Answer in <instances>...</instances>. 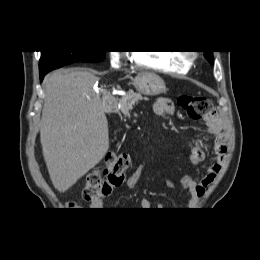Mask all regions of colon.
I'll list each match as a JSON object with an SVG mask.
<instances>
[{
  "instance_id": "colon-1",
  "label": "colon",
  "mask_w": 260,
  "mask_h": 260,
  "mask_svg": "<svg viewBox=\"0 0 260 260\" xmlns=\"http://www.w3.org/2000/svg\"><path fill=\"white\" fill-rule=\"evenodd\" d=\"M178 104L194 119L206 118L216 114L211 101L203 96H181ZM129 166L126 155H114L108 160L106 169L94 170L86 176L82 197L86 201L103 199L108 196L114 188L120 187L125 179V172ZM75 208L74 203L69 204Z\"/></svg>"
}]
</instances>
